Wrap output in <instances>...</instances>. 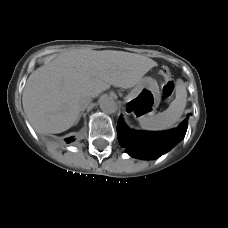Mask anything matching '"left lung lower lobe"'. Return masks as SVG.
Returning a JSON list of instances; mask_svg holds the SVG:
<instances>
[{
    "label": "left lung lower lobe",
    "mask_w": 228,
    "mask_h": 228,
    "mask_svg": "<svg viewBox=\"0 0 228 228\" xmlns=\"http://www.w3.org/2000/svg\"><path fill=\"white\" fill-rule=\"evenodd\" d=\"M188 118L189 115L174 129L162 132H146L131 130L120 117L117 124L118 141L132 157L157 158L169 151L185 136Z\"/></svg>",
    "instance_id": "0a47b994"
}]
</instances>
